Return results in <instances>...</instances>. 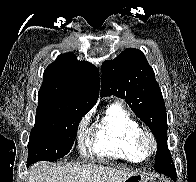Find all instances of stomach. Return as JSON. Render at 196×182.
Masks as SVG:
<instances>
[{"instance_id":"0dacf381","label":"stomach","mask_w":196,"mask_h":182,"mask_svg":"<svg viewBox=\"0 0 196 182\" xmlns=\"http://www.w3.org/2000/svg\"><path fill=\"white\" fill-rule=\"evenodd\" d=\"M125 182H155L152 177H149L143 173H135L128 177Z\"/></svg>"}]
</instances>
